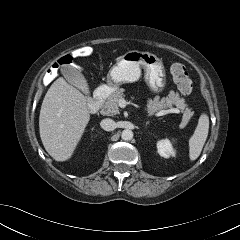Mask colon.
Returning a JSON list of instances; mask_svg holds the SVG:
<instances>
[{"label":"colon","mask_w":240,"mask_h":240,"mask_svg":"<svg viewBox=\"0 0 240 240\" xmlns=\"http://www.w3.org/2000/svg\"><path fill=\"white\" fill-rule=\"evenodd\" d=\"M91 54H92V49L90 47L78 48L74 50L72 53L61 57L53 67L59 68L64 65H68L72 63L74 58L88 57ZM170 72L178 90L184 95L191 94L193 90V83L189 77V74L185 66L180 62H173L170 66Z\"/></svg>","instance_id":"1"}]
</instances>
